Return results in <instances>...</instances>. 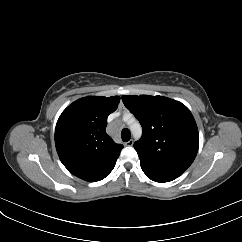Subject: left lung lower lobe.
I'll return each mask as SVG.
<instances>
[{
    "label": "left lung lower lobe",
    "mask_w": 242,
    "mask_h": 242,
    "mask_svg": "<svg viewBox=\"0 0 242 242\" xmlns=\"http://www.w3.org/2000/svg\"><path fill=\"white\" fill-rule=\"evenodd\" d=\"M142 170L148 178H150L151 180H153L155 182H160V183L169 182L178 177V176L169 175V174L150 173L144 169H142Z\"/></svg>",
    "instance_id": "0a47b994"
}]
</instances>
